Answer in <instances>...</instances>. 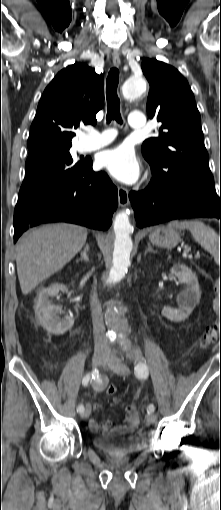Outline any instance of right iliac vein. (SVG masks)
Listing matches in <instances>:
<instances>
[{
	"label": "right iliac vein",
	"instance_id": "obj_1",
	"mask_svg": "<svg viewBox=\"0 0 221 510\" xmlns=\"http://www.w3.org/2000/svg\"><path fill=\"white\" fill-rule=\"evenodd\" d=\"M108 358V354L102 352H95L92 357V365L94 368L100 366L103 362H105ZM91 413V406L87 404L84 411L81 413V418L86 419L89 417Z\"/></svg>",
	"mask_w": 221,
	"mask_h": 510
}]
</instances>
